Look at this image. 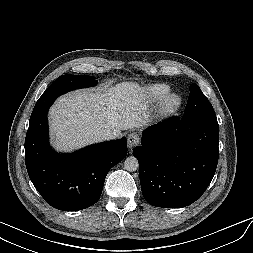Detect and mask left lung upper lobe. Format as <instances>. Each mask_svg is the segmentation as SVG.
Wrapping results in <instances>:
<instances>
[{
	"label": "left lung upper lobe",
	"instance_id": "obj_1",
	"mask_svg": "<svg viewBox=\"0 0 253 253\" xmlns=\"http://www.w3.org/2000/svg\"><path fill=\"white\" fill-rule=\"evenodd\" d=\"M200 117H216V115L207 97L193 83L182 119L188 121Z\"/></svg>",
	"mask_w": 253,
	"mask_h": 253
}]
</instances>
